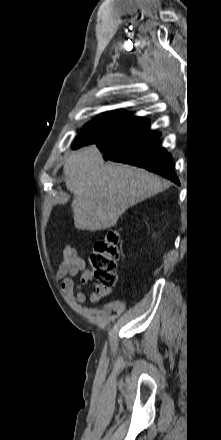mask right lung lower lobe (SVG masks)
Wrapping results in <instances>:
<instances>
[{"label":"right lung lower lobe","mask_w":221,"mask_h":440,"mask_svg":"<svg viewBox=\"0 0 221 440\" xmlns=\"http://www.w3.org/2000/svg\"><path fill=\"white\" fill-rule=\"evenodd\" d=\"M159 137V132L150 131L147 119L134 116L95 144L105 160L144 168L179 185L171 154L154 144Z\"/></svg>","instance_id":"right-lung-lower-lobe-1"}]
</instances>
